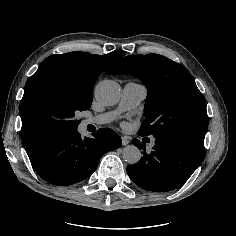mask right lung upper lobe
<instances>
[{
	"instance_id": "obj_1",
	"label": "right lung upper lobe",
	"mask_w": 236,
	"mask_h": 236,
	"mask_svg": "<svg viewBox=\"0 0 236 236\" xmlns=\"http://www.w3.org/2000/svg\"><path fill=\"white\" fill-rule=\"evenodd\" d=\"M123 55L122 52L106 55H92L86 52L51 55L40 64L33 76L44 72H62L74 75L84 85H91L107 66ZM27 154L29 156L32 153Z\"/></svg>"
}]
</instances>
